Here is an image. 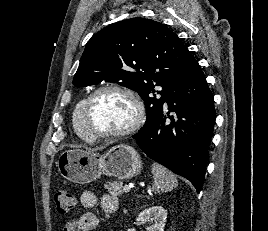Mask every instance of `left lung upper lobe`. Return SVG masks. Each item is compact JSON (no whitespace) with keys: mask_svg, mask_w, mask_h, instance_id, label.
Masks as SVG:
<instances>
[{"mask_svg":"<svg viewBox=\"0 0 268 231\" xmlns=\"http://www.w3.org/2000/svg\"><path fill=\"white\" fill-rule=\"evenodd\" d=\"M196 62L166 25L136 17L108 25L87 42L73 84L86 87L102 81L119 82L137 91L147 111L140 130H147L162 113L170 88ZM155 86L163 90L155 91Z\"/></svg>","mask_w":268,"mask_h":231,"instance_id":"obj_1","label":"left lung upper lobe"}]
</instances>
